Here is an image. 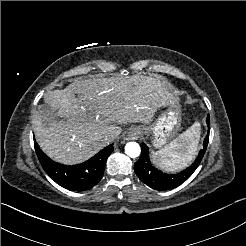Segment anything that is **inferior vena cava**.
<instances>
[{
    "mask_svg": "<svg viewBox=\"0 0 246 246\" xmlns=\"http://www.w3.org/2000/svg\"><path fill=\"white\" fill-rule=\"evenodd\" d=\"M117 135H118V131H113V132H111V133L108 135V137H110V138H112V139H115V138L117 137Z\"/></svg>",
    "mask_w": 246,
    "mask_h": 246,
    "instance_id": "602c4592",
    "label": "inferior vena cava"
}]
</instances>
